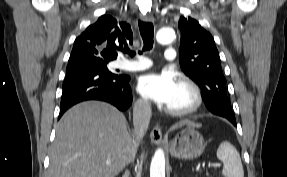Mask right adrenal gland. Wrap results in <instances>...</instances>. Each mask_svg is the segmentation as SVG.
Segmentation results:
<instances>
[{"instance_id": "obj_1", "label": "right adrenal gland", "mask_w": 287, "mask_h": 177, "mask_svg": "<svg viewBox=\"0 0 287 177\" xmlns=\"http://www.w3.org/2000/svg\"><path fill=\"white\" fill-rule=\"evenodd\" d=\"M122 177H130V172L126 169Z\"/></svg>"}]
</instances>
